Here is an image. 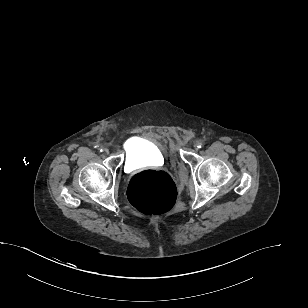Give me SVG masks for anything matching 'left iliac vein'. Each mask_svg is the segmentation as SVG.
Returning <instances> with one entry per match:
<instances>
[{"label":"left iliac vein","instance_id":"4c4485c4","mask_svg":"<svg viewBox=\"0 0 308 308\" xmlns=\"http://www.w3.org/2000/svg\"><path fill=\"white\" fill-rule=\"evenodd\" d=\"M198 141L194 143V148L197 150L198 149Z\"/></svg>","mask_w":308,"mask_h":308}]
</instances>
